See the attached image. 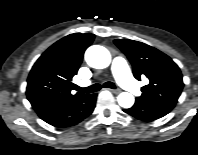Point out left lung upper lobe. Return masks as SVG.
<instances>
[{"label":"left lung upper lobe","instance_id":"5c2ea615","mask_svg":"<svg viewBox=\"0 0 198 155\" xmlns=\"http://www.w3.org/2000/svg\"><path fill=\"white\" fill-rule=\"evenodd\" d=\"M115 44L128 57L133 66V74L149 79V84L142 87V95L136 100L148 104L175 105L182 92L184 83L179 67L170 57L142 42L117 39Z\"/></svg>","mask_w":198,"mask_h":155}]
</instances>
